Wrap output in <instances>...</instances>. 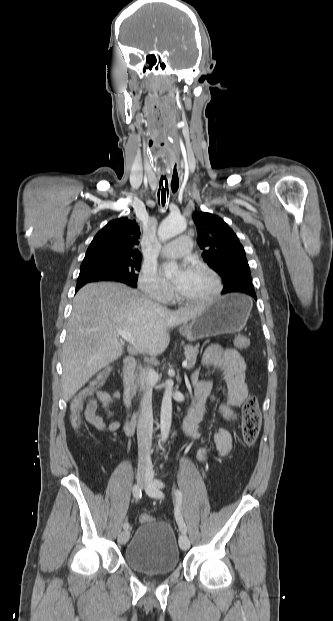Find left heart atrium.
<instances>
[{
    "label": "left heart atrium",
    "mask_w": 333,
    "mask_h": 621,
    "mask_svg": "<svg viewBox=\"0 0 333 621\" xmlns=\"http://www.w3.org/2000/svg\"><path fill=\"white\" fill-rule=\"evenodd\" d=\"M163 274L176 290H180L190 277L191 269L185 265L167 264L163 267Z\"/></svg>",
    "instance_id": "1"
}]
</instances>
